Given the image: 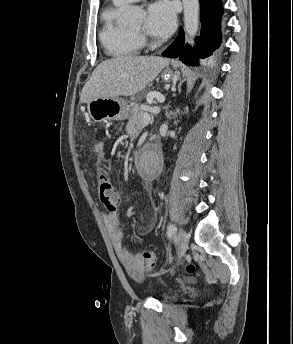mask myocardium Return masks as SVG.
Returning a JSON list of instances; mask_svg holds the SVG:
<instances>
[{
  "label": "myocardium",
  "mask_w": 293,
  "mask_h": 344,
  "mask_svg": "<svg viewBox=\"0 0 293 344\" xmlns=\"http://www.w3.org/2000/svg\"><path fill=\"white\" fill-rule=\"evenodd\" d=\"M131 32H132L133 34H135L136 36H142V33H141L140 31L135 32V31H132V30H131Z\"/></svg>",
  "instance_id": "f54148a6"
}]
</instances>
